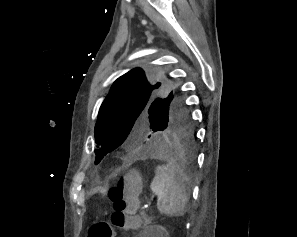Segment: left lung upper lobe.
<instances>
[{
  "label": "left lung upper lobe",
  "mask_w": 297,
  "mask_h": 237,
  "mask_svg": "<svg viewBox=\"0 0 297 237\" xmlns=\"http://www.w3.org/2000/svg\"><path fill=\"white\" fill-rule=\"evenodd\" d=\"M180 105H185L181 91L164 71L135 68L119 77L99 109L95 164L114 150L141 157L165 117Z\"/></svg>",
  "instance_id": "obj_1"
}]
</instances>
